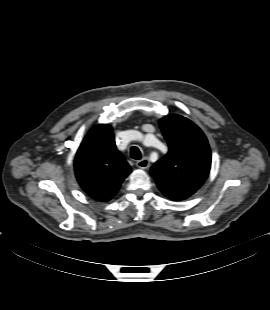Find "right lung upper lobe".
<instances>
[{
    "instance_id": "1",
    "label": "right lung upper lobe",
    "mask_w": 270,
    "mask_h": 310,
    "mask_svg": "<svg viewBox=\"0 0 270 310\" xmlns=\"http://www.w3.org/2000/svg\"><path fill=\"white\" fill-rule=\"evenodd\" d=\"M79 185L92 198L106 202L119 190L131 167L117 150L113 129L100 124L90 130L75 157Z\"/></svg>"
}]
</instances>
